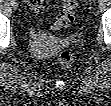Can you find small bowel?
Returning a JSON list of instances; mask_svg holds the SVG:
<instances>
[{"mask_svg": "<svg viewBox=\"0 0 111 106\" xmlns=\"http://www.w3.org/2000/svg\"><path fill=\"white\" fill-rule=\"evenodd\" d=\"M27 3L36 11L40 12L42 7V2L40 0H29Z\"/></svg>", "mask_w": 111, "mask_h": 106, "instance_id": "c3829d8e", "label": "small bowel"}]
</instances>
